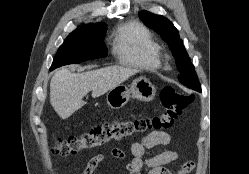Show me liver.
Returning <instances> with one entry per match:
<instances>
[{
  "label": "liver",
  "mask_w": 249,
  "mask_h": 174,
  "mask_svg": "<svg viewBox=\"0 0 249 174\" xmlns=\"http://www.w3.org/2000/svg\"><path fill=\"white\" fill-rule=\"evenodd\" d=\"M138 73L137 69L110 66L83 73L61 69L50 82V103L61 119H67L86 103L83 97L92 91L99 97Z\"/></svg>",
  "instance_id": "obj_1"
}]
</instances>
